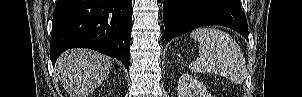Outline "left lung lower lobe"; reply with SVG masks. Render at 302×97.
I'll use <instances>...</instances> for the list:
<instances>
[{"instance_id":"obj_1","label":"left lung lower lobe","mask_w":302,"mask_h":97,"mask_svg":"<svg viewBox=\"0 0 302 97\" xmlns=\"http://www.w3.org/2000/svg\"><path fill=\"white\" fill-rule=\"evenodd\" d=\"M165 41L206 25L234 29L248 40V26L240 0H164Z\"/></svg>"}]
</instances>
